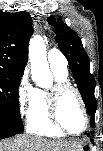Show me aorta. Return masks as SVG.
I'll return each instance as SVG.
<instances>
[{
  "label": "aorta",
  "mask_w": 103,
  "mask_h": 151,
  "mask_svg": "<svg viewBox=\"0 0 103 151\" xmlns=\"http://www.w3.org/2000/svg\"><path fill=\"white\" fill-rule=\"evenodd\" d=\"M29 61L33 79L39 82L42 77L51 76L46 57V46L40 35H35L29 42Z\"/></svg>",
  "instance_id": "obj_1"
}]
</instances>
